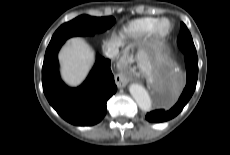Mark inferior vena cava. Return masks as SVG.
Segmentation results:
<instances>
[{
	"label": "inferior vena cava",
	"mask_w": 230,
	"mask_h": 155,
	"mask_svg": "<svg viewBox=\"0 0 230 155\" xmlns=\"http://www.w3.org/2000/svg\"><path fill=\"white\" fill-rule=\"evenodd\" d=\"M119 50L117 47H110L107 50H105L106 57L112 59L117 56Z\"/></svg>",
	"instance_id": "obj_1"
}]
</instances>
